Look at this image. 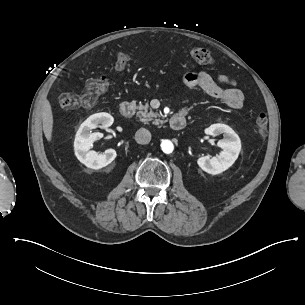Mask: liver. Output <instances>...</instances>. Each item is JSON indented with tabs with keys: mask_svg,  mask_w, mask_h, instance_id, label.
Returning a JSON list of instances; mask_svg holds the SVG:
<instances>
[{
	"mask_svg": "<svg viewBox=\"0 0 305 305\" xmlns=\"http://www.w3.org/2000/svg\"><path fill=\"white\" fill-rule=\"evenodd\" d=\"M43 131L48 141L52 138L53 116L51 106L48 100L44 101L42 107Z\"/></svg>",
	"mask_w": 305,
	"mask_h": 305,
	"instance_id": "obj_1",
	"label": "liver"
}]
</instances>
